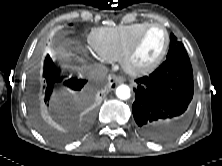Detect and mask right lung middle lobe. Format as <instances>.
I'll use <instances>...</instances> for the list:
<instances>
[{"label": "right lung middle lobe", "mask_w": 222, "mask_h": 166, "mask_svg": "<svg viewBox=\"0 0 222 166\" xmlns=\"http://www.w3.org/2000/svg\"><path fill=\"white\" fill-rule=\"evenodd\" d=\"M41 111H42V113H44V111H45L43 106L41 107ZM33 118H34L37 128L40 131H42L43 133H45L49 136H56V134L47 127V125L45 124L44 120L42 119V117L40 116L38 111H34Z\"/></svg>", "instance_id": "1"}]
</instances>
